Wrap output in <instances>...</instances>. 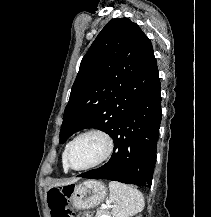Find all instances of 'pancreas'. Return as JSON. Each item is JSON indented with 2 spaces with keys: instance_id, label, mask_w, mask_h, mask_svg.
Wrapping results in <instances>:
<instances>
[{
  "instance_id": "obj_1",
  "label": "pancreas",
  "mask_w": 211,
  "mask_h": 217,
  "mask_svg": "<svg viewBox=\"0 0 211 217\" xmlns=\"http://www.w3.org/2000/svg\"><path fill=\"white\" fill-rule=\"evenodd\" d=\"M105 213H107L106 210L99 209V210H97V212H96V217H102Z\"/></svg>"
}]
</instances>
